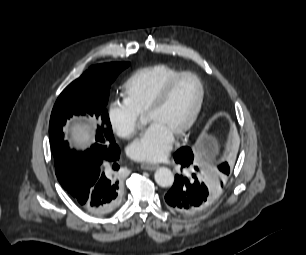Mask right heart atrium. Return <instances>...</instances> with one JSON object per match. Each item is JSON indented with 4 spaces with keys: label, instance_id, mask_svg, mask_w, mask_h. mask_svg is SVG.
Returning a JSON list of instances; mask_svg holds the SVG:
<instances>
[{
    "label": "right heart atrium",
    "instance_id": "d8ad5b80",
    "mask_svg": "<svg viewBox=\"0 0 306 255\" xmlns=\"http://www.w3.org/2000/svg\"><path fill=\"white\" fill-rule=\"evenodd\" d=\"M107 117L111 129L121 138L133 136L139 128L140 114L125 101H112L107 109Z\"/></svg>",
    "mask_w": 306,
    "mask_h": 255
}]
</instances>
